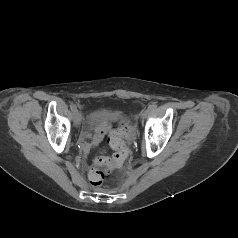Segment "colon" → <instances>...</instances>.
I'll use <instances>...</instances> for the list:
<instances>
[{
    "label": "colon",
    "mask_w": 238,
    "mask_h": 238,
    "mask_svg": "<svg viewBox=\"0 0 238 238\" xmlns=\"http://www.w3.org/2000/svg\"><path fill=\"white\" fill-rule=\"evenodd\" d=\"M134 133V128L128 122H121L120 125L113 130L108 137L109 146L115 151V154L108 157L104 152L98 154L94 158L97 166H104L108 171L118 167L128 156V148L124 142L125 138L130 137ZM106 173L100 169H94L89 173V180L92 186H100Z\"/></svg>",
    "instance_id": "5ec220e1"
}]
</instances>
